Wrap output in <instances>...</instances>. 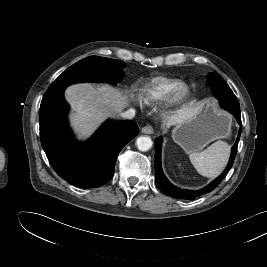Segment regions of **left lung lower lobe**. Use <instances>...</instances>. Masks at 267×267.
I'll use <instances>...</instances> for the list:
<instances>
[{"label":"left lung lower lobe","instance_id":"1","mask_svg":"<svg viewBox=\"0 0 267 267\" xmlns=\"http://www.w3.org/2000/svg\"><path fill=\"white\" fill-rule=\"evenodd\" d=\"M220 102V105L222 108L228 110L231 114H233L235 116V118L237 119L238 124L240 125V127H242L241 124V115H240V106H239V102L236 98V96L234 95V93H231L230 95L226 96H222L220 99H218ZM240 134H241V128L237 137V141L234 144V146L232 147V152H231V157L229 160V163L226 167V169L224 170V172L218 177L216 178L214 181H212L208 186L197 190V191H190V190H182L176 186H174L172 183H170L168 181V179L165 177L162 168H161V137L156 138L155 139V158H154V163H155V182L156 185L158 186V188L167 196H171V197H175V198H180V199H187V200H191L194 199L195 197L203 194V193H208L210 191H212L222 180L223 178L226 176V174L228 173V170L230 169V167L232 166L233 162H234V158L236 156L237 153V146H238V142L240 139Z\"/></svg>","mask_w":267,"mask_h":267}]
</instances>
